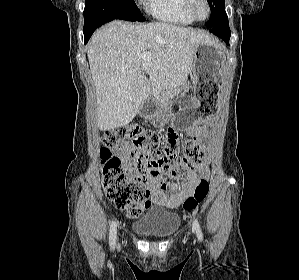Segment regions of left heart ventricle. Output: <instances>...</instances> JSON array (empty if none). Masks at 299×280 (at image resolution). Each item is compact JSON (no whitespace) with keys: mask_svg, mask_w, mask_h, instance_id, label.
Masks as SVG:
<instances>
[{"mask_svg":"<svg viewBox=\"0 0 299 280\" xmlns=\"http://www.w3.org/2000/svg\"><path fill=\"white\" fill-rule=\"evenodd\" d=\"M195 13L198 17L203 18L206 15V7L201 0L195 2Z\"/></svg>","mask_w":299,"mask_h":280,"instance_id":"1","label":"left heart ventricle"}]
</instances>
